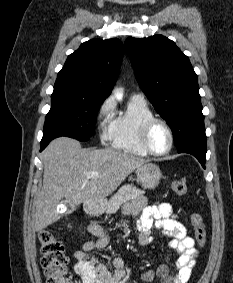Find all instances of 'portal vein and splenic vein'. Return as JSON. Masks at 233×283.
Returning <instances> with one entry per match:
<instances>
[{"instance_id":"18ae733b","label":"portal vein and splenic vein","mask_w":233,"mask_h":283,"mask_svg":"<svg viewBox=\"0 0 233 283\" xmlns=\"http://www.w3.org/2000/svg\"><path fill=\"white\" fill-rule=\"evenodd\" d=\"M98 175V173H96V172H90V173H87V177L88 178H94V177H96Z\"/></svg>"}]
</instances>
